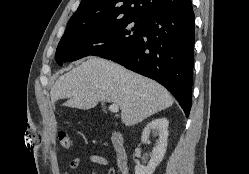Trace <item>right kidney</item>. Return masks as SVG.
I'll list each match as a JSON object with an SVG mask.
<instances>
[{
  "instance_id": "1",
  "label": "right kidney",
  "mask_w": 249,
  "mask_h": 174,
  "mask_svg": "<svg viewBox=\"0 0 249 174\" xmlns=\"http://www.w3.org/2000/svg\"><path fill=\"white\" fill-rule=\"evenodd\" d=\"M168 125L169 122L166 118L154 119L146 125L141 136L142 143H147L150 132L158 134L159 139L153 148L148 165L146 167L137 165L135 167V174H153L156 167L161 163L167 149Z\"/></svg>"
}]
</instances>
